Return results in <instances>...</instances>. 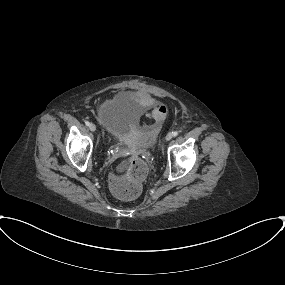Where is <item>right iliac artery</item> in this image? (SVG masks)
I'll return each mask as SVG.
<instances>
[{"label": "right iliac artery", "instance_id": "1", "mask_svg": "<svg viewBox=\"0 0 285 285\" xmlns=\"http://www.w3.org/2000/svg\"><path fill=\"white\" fill-rule=\"evenodd\" d=\"M85 124H86L87 126H89V125H90V122H89V121H86Z\"/></svg>", "mask_w": 285, "mask_h": 285}]
</instances>
